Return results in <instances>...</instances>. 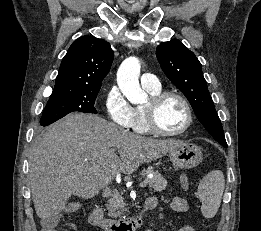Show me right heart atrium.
Segmentation results:
<instances>
[{"label":"right heart atrium","mask_w":261,"mask_h":231,"mask_svg":"<svg viewBox=\"0 0 261 231\" xmlns=\"http://www.w3.org/2000/svg\"><path fill=\"white\" fill-rule=\"evenodd\" d=\"M105 108L114 124L125 129L132 127L134 108L117 86H113L108 91L105 98Z\"/></svg>","instance_id":"d8ad5b80"}]
</instances>
